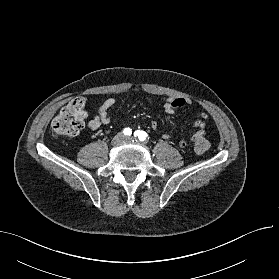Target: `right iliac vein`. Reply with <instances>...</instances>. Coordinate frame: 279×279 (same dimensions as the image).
<instances>
[{
  "label": "right iliac vein",
  "mask_w": 279,
  "mask_h": 279,
  "mask_svg": "<svg viewBox=\"0 0 279 279\" xmlns=\"http://www.w3.org/2000/svg\"><path fill=\"white\" fill-rule=\"evenodd\" d=\"M124 140V136L122 133H118L115 135V137L112 139L111 144L112 145H118Z\"/></svg>",
  "instance_id": "right-iliac-vein-1"
}]
</instances>
